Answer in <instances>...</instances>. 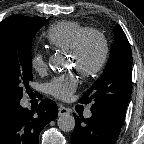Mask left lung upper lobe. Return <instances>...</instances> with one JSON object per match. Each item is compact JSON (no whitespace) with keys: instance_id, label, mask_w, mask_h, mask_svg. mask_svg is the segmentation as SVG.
Segmentation results:
<instances>
[{"instance_id":"5c2ea615","label":"left lung upper lobe","mask_w":144,"mask_h":144,"mask_svg":"<svg viewBox=\"0 0 144 144\" xmlns=\"http://www.w3.org/2000/svg\"><path fill=\"white\" fill-rule=\"evenodd\" d=\"M114 35L116 40L104 72L80 102L92 100L94 104L91 108L104 109L124 119L132 89V53L128 39L119 25L115 26Z\"/></svg>"}]
</instances>
